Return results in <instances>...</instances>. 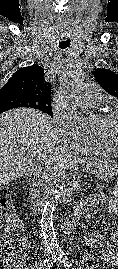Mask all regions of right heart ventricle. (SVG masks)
<instances>
[{"label": "right heart ventricle", "instance_id": "1", "mask_svg": "<svg viewBox=\"0 0 118 269\" xmlns=\"http://www.w3.org/2000/svg\"><path fill=\"white\" fill-rule=\"evenodd\" d=\"M86 153H95V154H117L112 148L99 139H93V141L84 147L83 149Z\"/></svg>", "mask_w": 118, "mask_h": 269}]
</instances>
